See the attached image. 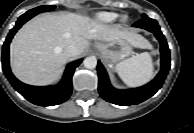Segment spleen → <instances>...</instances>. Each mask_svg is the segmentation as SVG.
Masks as SVG:
<instances>
[{"instance_id":"spleen-1","label":"spleen","mask_w":194,"mask_h":133,"mask_svg":"<svg viewBox=\"0 0 194 133\" xmlns=\"http://www.w3.org/2000/svg\"><path fill=\"white\" fill-rule=\"evenodd\" d=\"M123 82L130 87L146 84L153 77V62L149 53L136 54L116 65Z\"/></svg>"}]
</instances>
